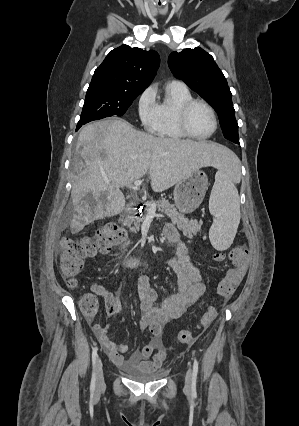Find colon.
<instances>
[{
  "label": "colon",
  "instance_id": "colon-1",
  "mask_svg": "<svg viewBox=\"0 0 299 426\" xmlns=\"http://www.w3.org/2000/svg\"><path fill=\"white\" fill-rule=\"evenodd\" d=\"M125 238L124 231L114 223H106L99 227L95 234L80 240L70 238L62 239L59 249V265L62 275L70 287L76 285V278L81 272L87 258L97 253H107ZM216 261H223L229 258L232 267L229 268L225 276L221 279L217 287V293L222 301L229 300L241 284L249 262V252L246 246H237L227 255L215 253ZM81 308L85 315L92 317L98 310V299L96 295L85 294L81 299ZM216 317V310L210 309L201 319V327L208 326ZM194 340V333L191 330H182L175 341L179 344H189Z\"/></svg>",
  "mask_w": 299,
  "mask_h": 426
}]
</instances>
